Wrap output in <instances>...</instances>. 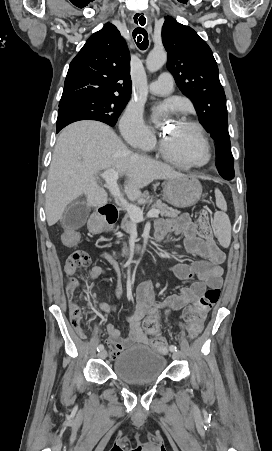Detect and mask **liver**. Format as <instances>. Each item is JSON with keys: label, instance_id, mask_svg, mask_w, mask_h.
Wrapping results in <instances>:
<instances>
[{"label": "liver", "instance_id": "liver-1", "mask_svg": "<svg viewBox=\"0 0 272 451\" xmlns=\"http://www.w3.org/2000/svg\"><path fill=\"white\" fill-rule=\"evenodd\" d=\"M101 170L125 174L124 192L129 200L141 198V188L153 180L185 176L167 164L133 154L102 122H75L62 130L53 152L45 196L48 226L61 220L68 204L83 194L87 206L101 208L107 204V192L96 182Z\"/></svg>", "mask_w": 272, "mask_h": 451}]
</instances>
